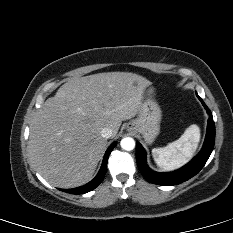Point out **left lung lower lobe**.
<instances>
[{"mask_svg": "<svg viewBox=\"0 0 233 233\" xmlns=\"http://www.w3.org/2000/svg\"><path fill=\"white\" fill-rule=\"evenodd\" d=\"M197 95V94H196ZM210 118L208 120L207 134L205 142L200 153L184 167L170 173H159L151 170L146 164L145 151L139 143L136 144L137 165L144 178L153 184L158 185H177L191 177L195 176L205 165L214 147L215 142V124L211 111L197 95Z\"/></svg>", "mask_w": 233, "mask_h": 233, "instance_id": "0a47b994", "label": "left lung lower lobe"}]
</instances>
